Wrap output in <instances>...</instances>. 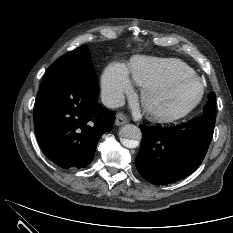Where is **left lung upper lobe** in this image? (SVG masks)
<instances>
[{"mask_svg":"<svg viewBox=\"0 0 233 233\" xmlns=\"http://www.w3.org/2000/svg\"><path fill=\"white\" fill-rule=\"evenodd\" d=\"M203 117L208 119H215V93L209 94V100L204 107Z\"/></svg>","mask_w":233,"mask_h":233,"instance_id":"left-lung-upper-lobe-1","label":"left lung upper lobe"}]
</instances>
